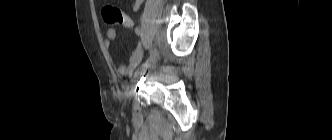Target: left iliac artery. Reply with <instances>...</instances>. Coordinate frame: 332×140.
<instances>
[{
  "mask_svg": "<svg viewBox=\"0 0 332 140\" xmlns=\"http://www.w3.org/2000/svg\"><path fill=\"white\" fill-rule=\"evenodd\" d=\"M156 54H157V50H156V48H154L151 51L150 56L147 58V60L141 65L140 69L146 67L149 64V62L155 57Z\"/></svg>",
  "mask_w": 332,
  "mask_h": 140,
  "instance_id": "obj_1",
  "label": "left iliac artery"
}]
</instances>
